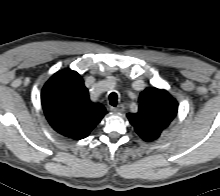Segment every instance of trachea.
<instances>
[{
    "instance_id": "trachea-1",
    "label": "trachea",
    "mask_w": 220,
    "mask_h": 196,
    "mask_svg": "<svg viewBox=\"0 0 220 196\" xmlns=\"http://www.w3.org/2000/svg\"><path fill=\"white\" fill-rule=\"evenodd\" d=\"M109 104L116 107L118 104V96L116 93H110L109 95Z\"/></svg>"
}]
</instances>
